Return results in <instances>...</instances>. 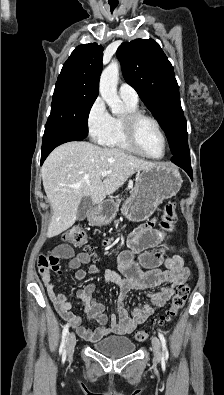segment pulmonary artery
Segmentation results:
<instances>
[{"mask_svg":"<svg viewBox=\"0 0 224 395\" xmlns=\"http://www.w3.org/2000/svg\"><path fill=\"white\" fill-rule=\"evenodd\" d=\"M119 95L122 98V100L128 101L130 103L137 104L138 103V94L136 90L131 87L127 83H122L119 86Z\"/></svg>","mask_w":224,"mask_h":395,"instance_id":"e3ab8cb5","label":"pulmonary artery"}]
</instances>
